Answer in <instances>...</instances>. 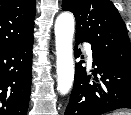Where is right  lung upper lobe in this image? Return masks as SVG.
I'll return each instance as SVG.
<instances>
[{
	"mask_svg": "<svg viewBox=\"0 0 131 115\" xmlns=\"http://www.w3.org/2000/svg\"><path fill=\"white\" fill-rule=\"evenodd\" d=\"M35 0H0V50L33 38Z\"/></svg>",
	"mask_w": 131,
	"mask_h": 115,
	"instance_id": "cb5924a9",
	"label": "right lung upper lobe"
}]
</instances>
